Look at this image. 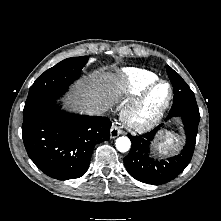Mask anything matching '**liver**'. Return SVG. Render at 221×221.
<instances>
[{
    "mask_svg": "<svg viewBox=\"0 0 221 221\" xmlns=\"http://www.w3.org/2000/svg\"><path fill=\"white\" fill-rule=\"evenodd\" d=\"M116 78L110 73L95 71L75 86L72 96L76 110L87 112L91 108H103L106 111L112 101Z\"/></svg>",
    "mask_w": 221,
    "mask_h": 221,
    "instance_id": "obj_1",
    "label": "liver"
}]
</instances>
